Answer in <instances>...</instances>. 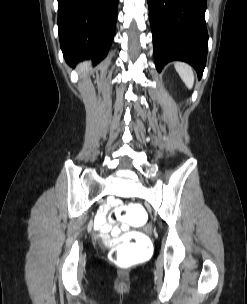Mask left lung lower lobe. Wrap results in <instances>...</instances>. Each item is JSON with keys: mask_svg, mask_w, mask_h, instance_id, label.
<instances>
[{"mask_svg": "<svg viewBox=\"0 0 247 304\" xmlns=\"http://www.w3.org/2000/svg\"><path fill=\"white\" fill-rule=\"evenodd\" d=\"M147 1L157 70L172 60H180L193 66L200 79L208 48L207 0Z\"/></svg>", "mask_w": 247, "mask_h": 304, "instance_id": "left-lung-lower-lobe-1", "label": "left lung lower lobe"}]
</instances>
